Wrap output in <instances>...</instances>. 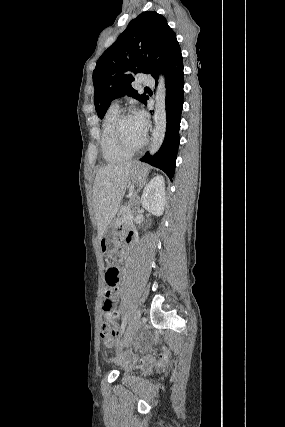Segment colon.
<instances>
[{
    "instance_id": "5ec220e1",
    "label": "colon",
    "mask_w": 285,
    "mask_h": 427,
    "mask_svg": "<svg viewBox=\"0 0 285 427\" xmlns=\"http://www.w3.org/2000/svg\"><path fill=\"white\" fill-rule=\"evenodd\" d=\"M120 278L119 269L110 265L105 270V285H106V293H110L112 289H114ZM108 310L104 314L105 321L101 328V339L107 346H112L115 340L118 338L119 331L117 325L118 313L111 308L110 304L107 305ZM169 358L167 354H163L159 361L158 365H164L168 363ZM145 362L142 359H137L135 361V365L138 367L144 366Z\"/></svg>"
}]
</instances>
